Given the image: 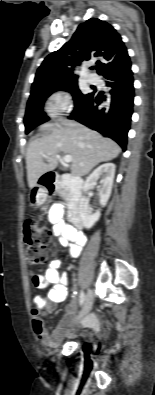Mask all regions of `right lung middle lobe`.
Masks as SVG:
<instances>
[{"instance_id":"right-lung-middle-lobe-1","label":"right lung middle lobe","mask_w":155,"mask_h":395,"mask_svg":"<svg viewBox=\"0 0 155 395\" xmlns=\"http://www.w3.org/2000/svg\"><path fill=\"white\" fill-rule=\"evenodd\" d=\"M65 90L71 92L75 104L82 100L83 95L78 88V80H70L47 86L35 95L31 96L27 103L26 114L24 118L26 133H29L36 126L46 122L49 118L43 112V105L48 96L54 91Z\"/></svg>"}]
</instances>
